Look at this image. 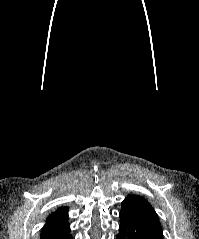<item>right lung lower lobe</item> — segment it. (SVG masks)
<instances>
[{
  "label": "right lung lower lobe",
  "instance_id": "right-lung-lower-lobe-1",
  "mask_svg": "<svg viewBox=\"0 0 199 239\" xmlns=\"http://www.w3.org/2000/svg\"><path fill=\"white\" fill-rule=\"evenodd\" d=\"M40 239H73L67 218L47 222L42 229Z\"/></svg>",
  "mask_w": 199,
  "mask_h": 239
}]
</instances>
